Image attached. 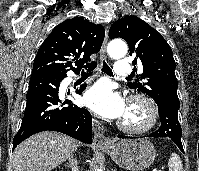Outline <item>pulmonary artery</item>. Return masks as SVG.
I'll list each match as a JSON object with an SVG mask.
<instances>
[{"label": "pulmonary artery", "mask_w": 199, "mask_h": 171, "mask_svg": "<svg viewBox=\"0 0 199 171\" xmlns=\"http://www.w3.org/2000/svg\"><path fill=\"white\" fill-rule=\"evenodd\" d=\"M132 72V66L126 60H121L116 62L114 73L118 76H127L130 75Z\"/></svg>", "instance_id": "e3ab8cb5"}]
</instances>
